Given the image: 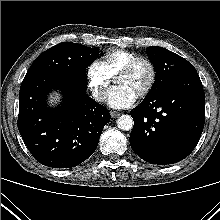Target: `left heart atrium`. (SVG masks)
<instances>
[{
  "label": "left heart atrium",
  "mask_w": 220,
  "mask_h": 220,
  "mask_svg": "<svg viewBox=\"0 0 220 220\" xmlns=\"http://www.w3.org/2000/svg\"><path fill=\"white\" fill-rule=\"evenodd\" d=\"M137 99V95L128 87L118 85L107 94V103L115 109H123L131 106Z\"/></svg>",
  "instance_id": "left-heart-atrium-1"
}]
</instances>
